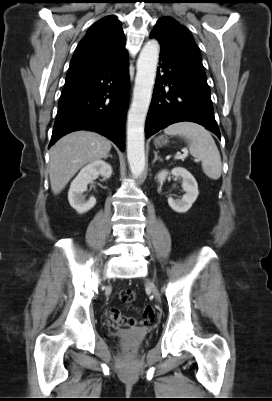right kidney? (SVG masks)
<instances>
[{
  "instance_id": "obj_1",
  "label": "right kidney",
  "mask_w": 272,
  "mask_h": 401,
  "mask_svg": "<svg viewBox=\"0 0 272 401\" xmlns=\"http://www.w3.org/2000/svg\"><path fill=\"white\" fill-rule=\"evenodd\" d=\"M99 175L110 178L112 175L111 165L102 160L94 161L82 168L72 181L68 192V200L79 214L86 213L95 206L96 199L92 196L86 201L83 192L87 190V185Z\"/></svg>"
}]
</instances>
